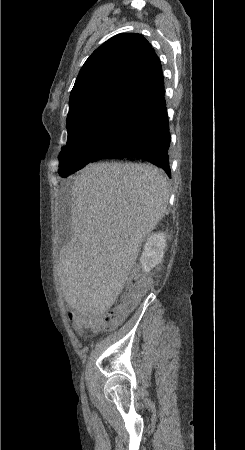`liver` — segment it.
Masks as SVG:
<instances>
[{"label":"liver","instance_id":"6515ba94","mask_svg":"<svg viewBox=\"0 0 245 450\" xmlns=\"http://www.w3.org/2000/svg\"><path fill=\"white\" fill-rule=\"evenodd\" d=\"M168 200L167 179L153 165L100 162L81 171L72 187L73 239L58 263L61 289L73 308L91 315L110 309Z\"/></svg>","mask_w":245,"mask_h":450}]
</instances>
